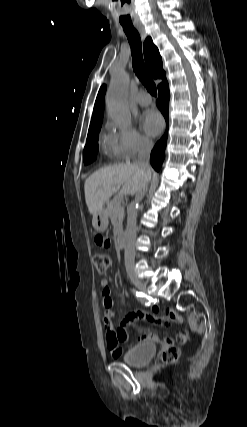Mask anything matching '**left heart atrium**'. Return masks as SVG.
I'll return each instance as SVG.
<instances>
[{
    "label": "left heart atrium",
    "mask_w": 247,
    "mask_h": 427,
    "mask_svg": "<svg viewBox=\"0 0 247 427\" xmlns=\"http://www.w3.org/2000/svg\"><path fill=\"white\" fill-rule=\"evenodd\" d=\"M142 126L147 134L156 136L162 131L164 123L158 112L149 110L142 117Z\"/></svg>",
    "instance_id": "39dd6f15"
}]
</instances>
